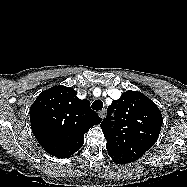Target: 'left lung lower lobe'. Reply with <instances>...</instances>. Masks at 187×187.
<instances>
[{"label": "left lung lower lobe", "instance_id": "obj_1", "mask_svg": "<svg viewBox=\"0 0 187 187\" xmlns=\"http://www.w3.org/2000/svg\"><path fill=\"white\" fill-rule=\"evenodd\" d=\"M110 157L112 158V160L116 163V164H126L128 162H126L124 159L118 157L117 155L114 154H109Z\"/></svg>", "mask_w": 187, "mask_h": 187}]
</instances>
